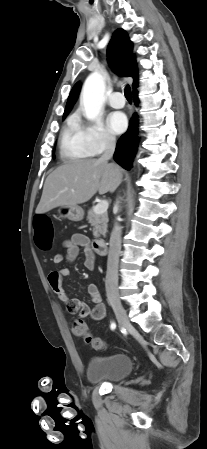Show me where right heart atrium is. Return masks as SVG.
Wrapping results in <instances>:
<instances>
[{
	"label": "right heart atrium",
	"instance_id": "right-heart-atrium-1",
	"mask_svg": "<svg viewBox=\"0 0 207 449\" xmlns=\"http://www.w3.org/2000/svg\"><path fill=\"white\" fill-rule=\"evenodd\" d=\"M85 142L92 155H100L116 144L115 136L101 122L81 125Z\"/></svg>",
	"mask_w": 207,
	"mask_h": 449
}]
</instances>
